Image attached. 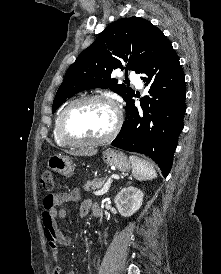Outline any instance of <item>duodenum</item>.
Wrapping results in <instances>:
<instances>
[{
  "label": "duodenum",
  "mask_w": 221,
  "mask_h": 274,
  "mask_svg": "<svg viewBox=\"0 0 221 274\" xmlns=\"http://www.w3.org/2000/svg\"><path fill=\"white\" fill-rule=\"evenodd\" d=\"M100 214H101V209H100V207H99V206H95V207L93 208V215H94L95 217H99Z\"/></svg>",
  "instance_id": "1"
}]
</instances>
